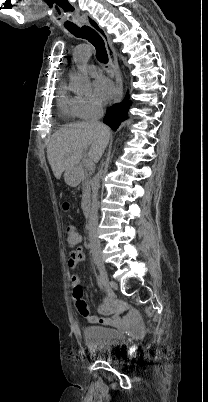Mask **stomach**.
<instances>
[{
    "label": "stomach",
    "mask_w": 208,
    "mask_h": 402,
    "mask_svg": "<svg viewBox=\"0 0 208 402\" xmlns=\"http://www.w3.org/2000/svg\"><path fill=\"white\" fill-rule=\"evenodd\" d=\"M64 180L68 186L71 188H75V186H79L80 184V176L76 172V168H68L64 172Z\"/></svg>",
    "instance_id": "1"
}]
</instances>
